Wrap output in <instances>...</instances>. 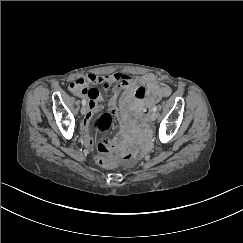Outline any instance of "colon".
<instances>
[{"label":"colon","instance_id":"colon-1","mask_svg":"<svg viewBox=\"0 0 243 243\" xmlns=\"http://www.w3.org/2000/svg\"><path fill=\"white\" fill-rule=\"evenodd\" d=\"M113 125V116L111 113L105 112L96 117L93 121V127L100 134L107 133ZM134 155L133 152H129L125 156H113L109 158L106 156H101L98 158V161L101 165L104 166H113L120 163L123 159H129Z\"/></svg>","mask_w":243,"mask_h":243}]
</instances>
